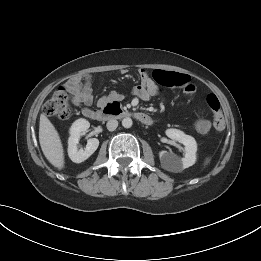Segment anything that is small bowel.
Here are the masks:
<instances>
[{"mask_svg":"<svg viewBox=\"0 0 261 261\" xmlns=\"http://www.w3.org/2000/svg\"><path fill=\"white\" fill-rule=\"evenodd\" d=\"M141 83L137 85L133 94L141 100H149L151 97L159 94L160 87H178L185 94L191 95L196 91V85L186 74L156 70L152 76L147 70H140ZM66 89L72 95V101L78 106H82V112L85 116L91 111L89 106L93 102L92 75L84 74L69 79L66 83ZM112 98L118 99V95H112ZM108 98L101 99L102 102ZM194 129L199 134H205L210 129V123L207 120H198L194 124Z\"/></svg>","mask_w":261,"mask_h":261,"instance_id":"1","label":"small bowel"}]
</instances>
